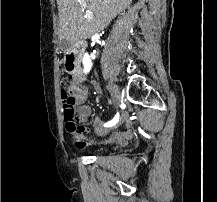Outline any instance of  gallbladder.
<instances>
[{
  "mask_svg": "<svg viewBox=\"0 0 217 202\" xmlns=\"http://www.w3.org/2000/svg\"><path fill=\"white\" fill-rule=\"evenodd\" d=\"M69 39H62L60 40V49L61 51H67L68 47H70Z\"/></svg>",
  "mask_w": 217,
  "mask_h": 202,
  "instance_id": "gallbladder-1",
  "label": "gallbladder"
}]
</instances>
